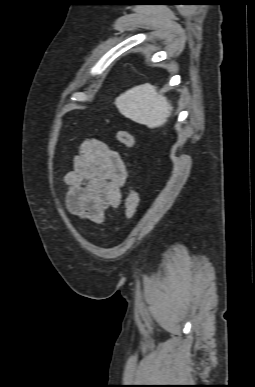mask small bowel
<instances>
[{"instance_id": "1", "label": "small bowel", "mask_w": 255, "mask_h": 387, "mask_svg": "<svg viewBox=\"0 0 255 387\" xmlns=\"http://www.w3.org/2000/svg\"><path fill=\"white\" fill-rule=\"evenodd\" d=\"M126 179L120 154L98 139H86L74 157L73 170L64 176L66 206L72 214L100 224L108 208L120 205Z\"/></svg>"}]
</instances>
